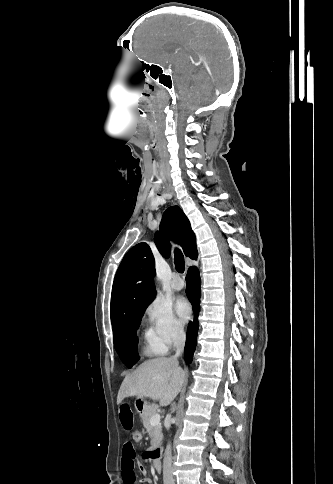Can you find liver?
Returning a JSON list of instances; mask_svg holds the SVG:
<instances>
[{"instance_id": "obj_1", "label": "liver", "mask_w": 333, "mask_h": 484, "mask_svg": "<svg viewBox=\"0 0 333 484\" xmlns=\"http://www.w3.org/2000/svg\"><path fill=\"white\" fill-rule=\"evenodd\" d=\"M185 381V372L177 359L155 358L143 362L126 375L117 395L119 405L127 397L158 400L168 406L178 395Z\"/></svg>"}]
</instances>
